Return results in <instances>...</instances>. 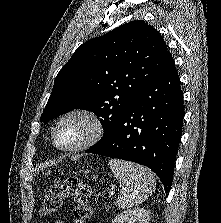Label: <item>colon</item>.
<instances>
[{
    "label": "colon",
    "mask_w": 221,
    "mask_h": 223,
    "mask_svg": "<svg viewBox=\"0 0 221 223\" xmlns=\"http://www.w3.org/2000/svg\"><path fill=\"white\" fill-rule=\"evenodd\" d=\"M90 196V187L77 177L58 180L45 192L40 207V214L50 215L61 207L64 199L72 198L76 203L74 222L87 223L86 221L90 218L92 213L89 204Z\"/></svg>",
    "instance_id": "colon-1"
}]
</instances>
